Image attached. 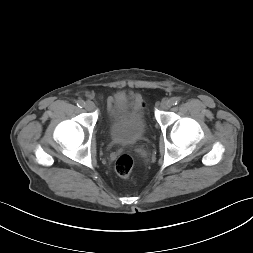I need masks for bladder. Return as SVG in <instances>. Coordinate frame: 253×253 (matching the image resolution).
I'll return each mask as SVG.
<instances>
[{
	"mask_svg": "<svg viewBox=\"0 0 253 253\" xmlns=\"http://www.w3.org/2000/svg\"><path fill=\"white\" fill-rule=\"evenodd\" d=\"M116 103L119 111L108 126L110 140L117 145H134L141 141L146 133L144 114L138 106H128L124 95L118 96Z\"/></svg>",
	"mask_w": 253,
	"mask_h": 253,
	"instance_id": "31cf9c89",
	"label": "bladder"
}]
</instances>
